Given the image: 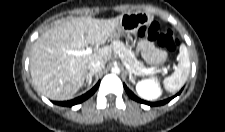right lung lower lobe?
I'll return each mask as SVG.
<instances>
[{
    "label": "right lung lower lobe",
    "mask_w": 225,
    "mask_h": 132,
    "mask_svg": "<svg viewBox=\"0 0 225 132\" xmlns=\"http://www.w3.org/2000/svg\"><path fill=\"white\" fill-rule=\"evenodd\" d=\"M99 83L98 82L90 91H88L87 93H85L84 95L78 97V98H75L73 100H70V101H64V102H55L56 104L58 105H61V106H73L75 104H79L83 101H85L86 99H88L91 95L94 94V92L97 90L98 86H99Z\"/></svg>",
    "instance_id": "98d812e1"
}]
</instances>
